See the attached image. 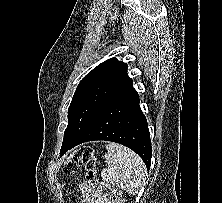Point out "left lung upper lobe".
Wrapping results in <instances>:
<instances>
[{"instance_id": "obj_1", "label": "left lung upper lobe", "mask_w": 222, "mask_h": 203, "mask_svg": "<svg viewBox=\"0 0 222 203\" xmlns=\"http://www.w3.org/2000/svg\"><path fill=\"white\" fill-rule=\"evenodd\" d=\"M129 79L127 64L116 58H110L90 71L80 81L72 98L62 145L72 142L104 101Z\"/></svg>"}]
</instances>
